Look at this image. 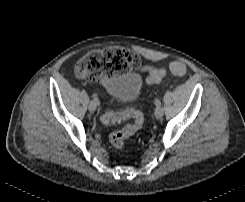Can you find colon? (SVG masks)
<instances>
[{"instance_id":"obj_1","label":"colon","mask_w":245,"mask_h":202,"mask_svg":"<svg viewBox=\"0 0 245 202\" xmlns=\"http://www.w3.org/2000/svg\"><path fill=\"white\" fill-rule=\"evenodd\" d=\"M137 62L136 55L126 48H103L90 51L84 55L77 62L75 70L87 80H98L102 77L112 78L123 75L136 66ZM167 71L175 75H183L186 72V66L181 61H172L168 64ZM165 72L164 69H157L154 72V78L161 80ZM124 119H130L132 122L109 135V143L115 149L124 148L126 141L142 128L143 115L135 109L120 114L106 110L101 115V121L104 124H114Z\"/></svg>"}]
</instances>
